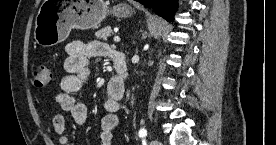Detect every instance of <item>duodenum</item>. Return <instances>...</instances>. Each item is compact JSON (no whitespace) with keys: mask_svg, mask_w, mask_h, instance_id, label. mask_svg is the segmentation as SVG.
<instances>
[{"mask_svg":"<svg viewBox=\"0 0 276 145\" xmlns=\"http://www.w3.org/2000/svg\"><path fill=\"white\" fill-rule=\"evenodd\" d=\"M116 76L111 79L110 85L120 92H124L128 76L127 58L123 53H117L113 57Z\"/></svg>","mask_w":276,"mask_h":145,"instance_id":"1","label":"duodenum"}]
</instances>
